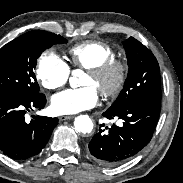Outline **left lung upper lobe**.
<instances>
[{"instance_id":"1","label":"left lung upper lobe","mask_w":183,"mask_h":183,"mask_svg":"<svg viewBox=\"0 0 183 183\" xmlns=\"http://www.w3.org/2000/svg\"><path fill=\"white\" fill-rule=\"evenodd\" d=\"M128 61V75L119 96L109 108L118 109L133 102L160 104V69L153 53L133 37L123 42Z\"/></svg>"}]
</instances>
